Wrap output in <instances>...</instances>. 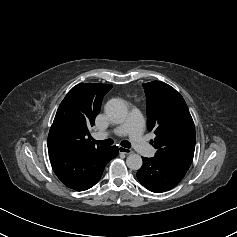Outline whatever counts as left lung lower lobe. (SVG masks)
<instances>
[{"label": "left lung lower lobe", "instance_id": "1", "mask_svg": "<svg viewBox=\"0 0 237 237\" xmlns=\"http://www.w3.org/2000/svg\"><path fill=\"white\" fill-rule=\"evenodd\" d=\"M142 159L143 165L137 172V178L144 187L156 193L176 186L188 170L155 157Z\"/></svg>", "mask_w": 237, "mask_h": 237}]
</instances>
